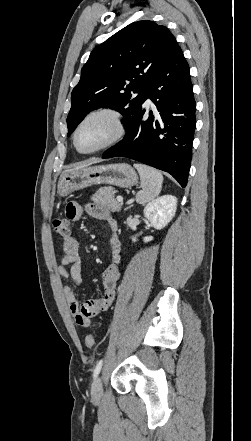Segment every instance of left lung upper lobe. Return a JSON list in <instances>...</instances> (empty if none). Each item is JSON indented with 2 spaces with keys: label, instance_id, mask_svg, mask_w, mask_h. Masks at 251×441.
I'll list each match as a JSON object with an SVG mask.
<instances>
[{
  "label": "left lung upper lobe",
  "instance_id": "1",
  "mask_svg": "<svg viewBox=\"0 0 251 441\" xmlns=\"http://www.w3.org/2000/svg\"><path fill=\"white\" fill-rule=\"evenodd\" d=\"M176 46L165 26L143 20L129 24L95 48L72 91L68 136L86 114L102 107L120 112L127 127L145 100L147 84Z\"/></svg>",
  "mask_w": 251,
  "mask_h": 441
}]
</instances>
